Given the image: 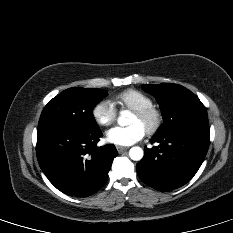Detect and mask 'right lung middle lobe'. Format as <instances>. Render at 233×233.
I'll return each instance as SVG.
<instances>
[{
    "label": "right lung middle lobe",
    "instance_id": "1",
    "mask_svg": "<svg viewBox=\"0 0 233 233\" xmlns=\"http://www.w3.org/2000/svg\"><path fill=\"white\" fill-rule=\"evenodd\" d=\"M107 94L105 90L94 88L66 89L44 107L38 127L64 124L89 130L99 129L92 112L95 105Z\"/></svg>",
    "mask_w": 233,
    "mask_h": 233
}]
</instances>
